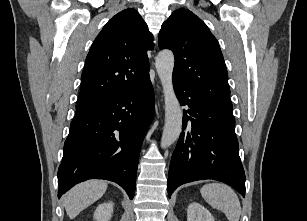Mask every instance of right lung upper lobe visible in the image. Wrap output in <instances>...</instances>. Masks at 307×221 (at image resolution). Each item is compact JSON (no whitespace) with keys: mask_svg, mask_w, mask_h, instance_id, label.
<instances>
[{"mask_svg":"<svg viewBox=\"0 0 307 221\" xmlns=\"http://www.w3.org/2000/svg\"><path fill=\"white\" fill-rule=\"evenodd\" d=\"M152 48V35L135 9L116 14L87 55L77 108H91L141 87L149 77L147 49Z\"/></svg>","mask_w":307,"mask_h":221,"instance_id":"right-lung-upper-lobe-1","label":"right lung upper lobe"}]
</instances>
